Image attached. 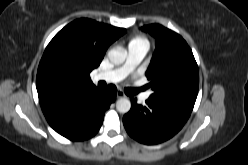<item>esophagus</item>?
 <instances>
[{
	"instance_id": "1",
	"label": "esophagus",
	"mask_w": 248,
	"mask_h": 165,
	"mask_svg": "<svg viewBox=\"0 0 248 165\" xmlns=\"http://www.w3.org/2000/svg\"><path fill=\"white\" fill-rule=\"evenodd\" d=\"M126 95L124 94V92L122 90H118L117 91V98H122L125 97Z\"/></svg>"
}]
</instances>
